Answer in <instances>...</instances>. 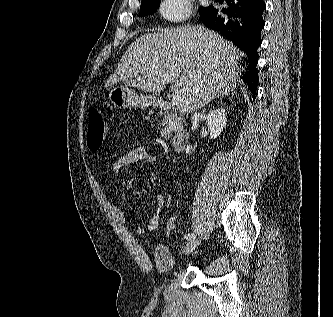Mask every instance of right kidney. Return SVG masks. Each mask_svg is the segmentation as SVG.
Returning a JSON list of instances; mask_svg holds the SVG:
<instances>
[{
	"label": "right kidney",
	"mask_w": 333,
	"mask_h": 317,
	"mask_svg": "<svg viewBox=\"0 0 333 317\" xmlns=\"http://www.w3.org/2000/svg\"><path fill=\"white\" fill-rule=\"evenodd\" d=\"M226 111L222 108H217L209 112L207 117V126L210 129V138L215 139L220 136L226 126ZM195 147L187 146L186 154L192 153Z\"/></svg>",
	"instance_id": "right-kidney-1"
}]
</instances>
